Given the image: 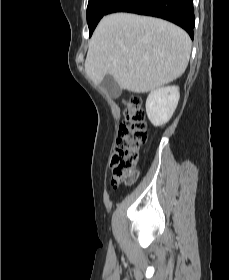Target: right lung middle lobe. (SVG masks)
Wrapping results in <instances>:
<instances>
[{
  "mask_svg": "<svg viewBox=\"0 0 229 280\" xmlns=\"http://www.w3.org/2000/svg\"><path fill=\"white\" fill-rule=\"evenodd\" d=\"M114 1L115 0H89L87 7V23L90 36L99 20L107 13Z\"/></svg>",
  "mask_w": 229,
  "mask_h": 280,
  "instance_id": "right-lung-middle-lobe-1",
  "label": "right lung middle lobe"
}]
</instances>
